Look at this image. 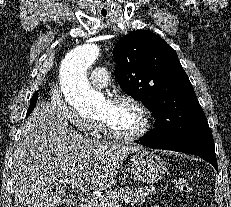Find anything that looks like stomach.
<instances>
[{
	"mask_svg": "<svg viewBox=\"0 0 231 207\" xmlns=\"http://www.w3.org/2000/svg\"><path fill=\"white\" fill-rule=\"evenodd\" d=\"M130 170L138 181L153 184L161 180L166 171V162L157 154L140 150L131 156Z\"/></svg>",
	"mask_w": 231,
	"mask_h": 207,
	"instance_id": "stomach-1",
	"label": "stomach"
}]
</instances>
